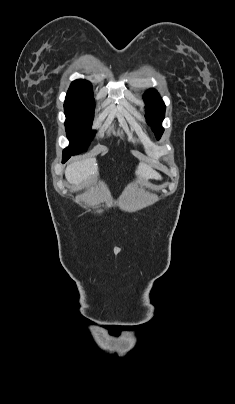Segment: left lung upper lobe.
<instances>
[{
	"instance_id": "5c2ea615",
	"label": "left lung upper lobe",
	"mask_w": 235,
	"mask_h": 404,
	"mask_svg": "<svg viewBox=\"0 0 235 404\" xmlns=\"http://www.w3.org/2000/svg\"><path fill=\"white\" fill-rule=\"evenodd\" d=\"M144 99L147 104L145 109L147 121L152 126V130L159 139L164 131L161 122L165 116L166 106L154 89L148 90L144 95Z\"/></svg>"
}]
</instances>
